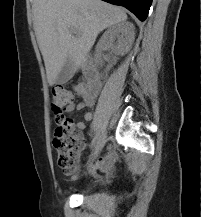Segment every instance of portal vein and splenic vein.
I'll list each match as a JSON object with an SVG mask.
<instances>
[{"mask_svg": "<svg viewBox=\"0 0 202 217\" xmlns=\"http://www.w3.org/2000/svg\"><path fill=\"white\" fill-rule=\"evenodd\" d=\"M72 33L77 34V31L73 28L70 29Z\"/></svg>", "mask_w": 202, "mask_h": 217, "instance_id": "1", "label": "portal vein and splenic vein"}]
</instances>
